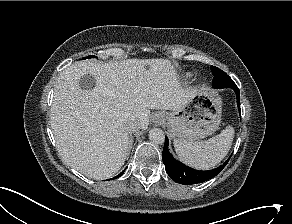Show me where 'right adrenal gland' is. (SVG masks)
I'll return each mask as SVG.
<instances>
[{
    "mask_svg": "<svg viewBox=\"0 0 292 224\" xmlns=\"http://www.w3.org/2000/svg\"><path fill=\"white\" fill-rule=\"evenodd\" d=\"M132 144H133V136H132V133H130V135H129V146H128L127 157H128L129 154H130V151H131V148H132Z\"/></svg>",
    "mask_w": 292,
    "mask_h": 224,
    "instance_id": "obj_1",
    "label": "right adrenal gland"
}]
</instances>
